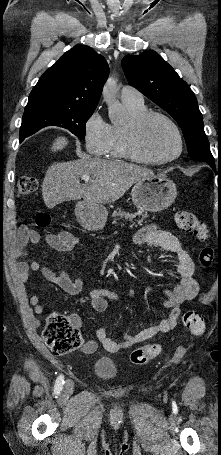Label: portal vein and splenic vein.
<instances>
[{"instance_id":"1","label":"portal vein and splenic vein","mask_w":221,"mask_h":455,"mask_svg":"<svg viewBox=\"0 0 221 455\" xmlns=\"http://www.w3.org/2000/svg\"><path fill=\"white\" fill-rule=\"evenodd\" d=\"M81 178H82L83 180H85V181H89L90 176L87 175V174H84V175L81 176Z\"/></svg>"}]
</instances>
